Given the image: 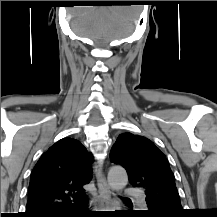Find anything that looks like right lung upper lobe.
Wrapping results in <instances>:
<instances>
[{
    "instance_id": "1",
    "label": "right lung upper lobe",
    "mask_w": 217,
    "mask_h": 217,
    "mask_svg": "<svg viewBox=\"0 0 217 217\" xmlns=\"http://www.w3.org/2000/svg\"><path fill=\"white\" fill-rule=\"evenodd\" d=\"M93 156L78 141L63 138L45 152L30 178L24 217H53L87 200L83 185L92 179Z\"/></svg>"
}]
</instances>
